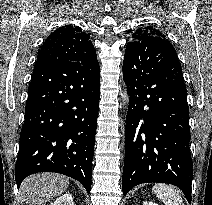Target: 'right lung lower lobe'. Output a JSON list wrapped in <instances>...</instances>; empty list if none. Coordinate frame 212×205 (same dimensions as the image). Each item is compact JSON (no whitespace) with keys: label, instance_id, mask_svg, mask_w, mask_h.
Wrapping results in <instances>:
<instances>
[{"label":"right lung lower lobe","instance_id":"right-lung-lower-lobe-1","mask_svg":"<svg viewBox=\"0 0 212 205\" xmlns=\"http://www.w3.org/2000/svg\"><path fill=\"white\" fill-rule=\"evenodd\" d=\"M100 99L98 61H65L33 70L20 133L16 184L56 172L91 189Z\"/></svg>","mask_w":212,"mask_h":205}]
</instances>
